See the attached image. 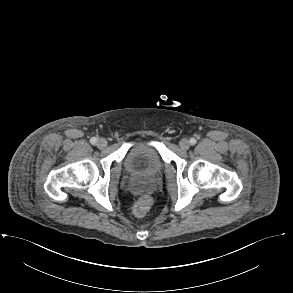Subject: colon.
Here are the masks:
<instances>
[{"label": "colon", "instance_id": "colon-1", "mask_svg": "<svg viewBox=\"0 0 293 293\" xmlns=\"http://www.w3.org/2000/svg\"><path fill=\"white\" fill-rule=\"evenodd\" d=\"M152 205L149 195H141L133 207V212L137 217H144Z\"/></svg>", "mask_w": 293, "mask_h": 293}]
</instances>
